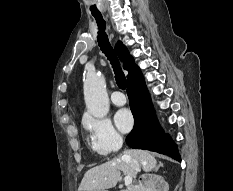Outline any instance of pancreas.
Segmentation results:
<instances>
[{"label": "pancreas", "instance_id": "cf45deb5", "mask_svg": "<svg viewBox=\"0 0 233 191\" xmlns=\"http://www.w3.org/2000/svg\"><path fill=\"white\" fill-rule=\"evenodd\" d=\"M122 191H138L135 187L128 188L127 190H122Z\"/></svg>", "mask_w": 233, "mask_h": 191}]
</instances>
